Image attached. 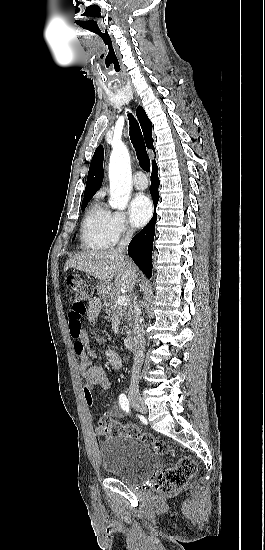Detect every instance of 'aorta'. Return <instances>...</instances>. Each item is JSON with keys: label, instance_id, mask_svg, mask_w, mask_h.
Returning <instances> with one entry per match:
<instances>
[{"label": "aorta", "instance_id": "762f6f07", "mask_svg": "<svg viewBox=\"0 0 265 550\" xmlns=\"http://www.w3.org/2000/svg\"><path fill=\"white\" fill-rule=\"evenodd\" d=\"M110 200L112 208L125 210L132 190L130 154L123 144L113 146L109 163Z\"/></svg>", "mask_w": 265, "mask_h": 550}]
</instances>
